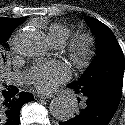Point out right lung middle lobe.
<instances>
[{"mask_svg":"<svg viewBox=\"0 0 125 125\" xmlns=\"http://www.w3.org/2000/svg\"><path fill=\"white\" fill-rule=\"evenodd\" d=\"M17 26H11V25H5L0 23V44L3 46H7L5 43L11 36L12 32L16 29ZM3 59H5L3 57ZM0 95H1V89H0Z\"/></svg>","mask_w":125,"mask_h":125,"instance_id":"obj_1","label":"right lung middle lobe"}]
</instances>
